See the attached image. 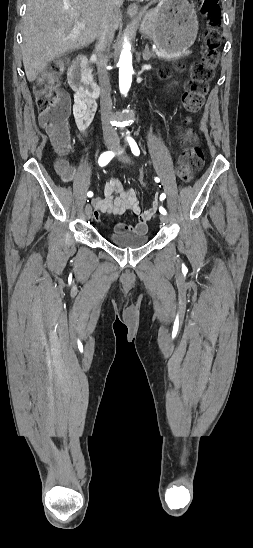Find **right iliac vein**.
Returning a JSON list of instances; mask_svg holds the SVG:
<instances>
[{"instance_id":"obj_1","label":"right iliac vein","mask_w":253,"mask_h":548,"mask_svg":"<svg viewBox=\"0 0 253 548\" xmlns=\"http://www.w3.org/2000/svg\"><path fill=\"white\" fill-rule=\"evenodd\" d=\"M107 148L109 150H112V149H115L116 148V145L113 144V143H109L107 144ZM91 214H92V208L91 206L88 204L86 207H85V215L87 218H90L91 217Z\"/></svg>"}]
</instances>
